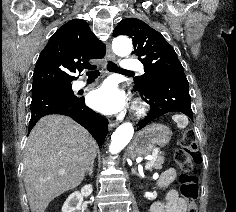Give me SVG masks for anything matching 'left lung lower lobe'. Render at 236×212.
Instances as JSON below:
<instances>
[{"instance_id":"obj_1","label":"left lung lower lobe","mask_w":236,"mask_h":212,"mask_svg":"<svg viewBox=\"0 0 236 212\" xmlns=\"http://www.w3.org/2000/svg\"><path fill=\"white\" fill-rule=\"evenodd\" d=\"M136 90L141 96H145L143 100L150 105L148 115L138 123V130L169 112H182L193 120L188 81L184 71H177L156 80L154 86L148 90Z\"/></svg>"}]
</instances>
